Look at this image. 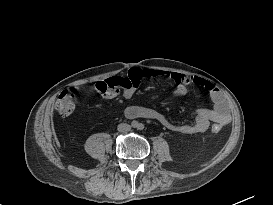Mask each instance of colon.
Here are the masks:
<instances>
[{
  "mask_svg": "<svg viewBox=\"0 0 273 205\" xmlns=\"http://www.w3.org/2000/svg\"><path fill=\"white\" fill-rule=\"evenodd\" d=\"M129 79L132 86H137L140 83L142 77L138 70H134L131 72ZM76 104L77 98L75 92L72 90H64L58 96L55 106L61 115L67 116L74 112ZM211 130L214 133H218L221 130V127L219 125H213Z\"/></svg>",
  "mask_w": 273,
  "mask_h": 205,
  "instance_id": "colon-1",
  "label": "colon"
}]
</instances>
